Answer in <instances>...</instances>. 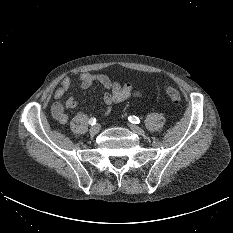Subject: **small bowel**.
Segmentation results:
<instances>
[{
  "instance_id": "small-bowel-1",
  "label": "small bowel",
  "mask_w": 233,
  "mask_h": 233,
  "mask_svg": "<svg viewBox=\"0 0 233 233\" xmlns=\"http://www.w3.org/2000/svg\"><path fill=\"white\" fill-rule=\"evenodd\" d=\"M80 88L88 89L93 83L97 82L107 89V92L103 94V103L107 110L105 115L110 113L111 107L115 103L123 102L131 97H142L143 94L138 90L133 83L121 84L117 81L112 80L108 75L99 73H82L79 77ZM71 86V80L67 77L63 78L57 89L53 93L55 102L51 107L52 117L60 124H66L68 121V115L66 109L72 110L77 106V101L70 97L65 103H62L60 99L65 95Z\"/></svg>"
}]
</instances>
